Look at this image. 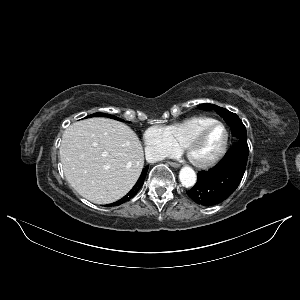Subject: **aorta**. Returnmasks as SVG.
<instances>
[{
    "label": "aorta",
    "mask_w": 300,
    "mask_h": 300,
    "mask_svg": "<svg viewBox=\"0 0 300 300\" xmlns=\"http://www.w3.org/2000/svg\"><path fill=\"white\" fill-rule=\"evenodd\" d=\"M179 179L184 187L189 188L194 186L197 176L192 168L183 167L179 172Z\"/></svg>",
    "instance_id": "aorta-1"
}]
</instances>
